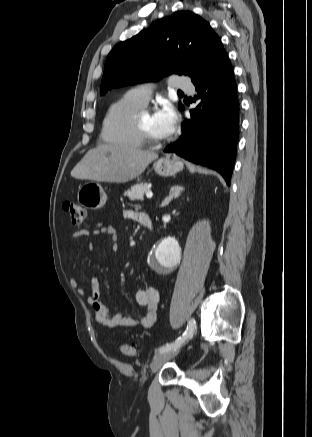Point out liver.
I'll use <instances>...</instances> for the list:
<instances>
[{"instance_id":"6515ba94","label":"liver","mask_w":312,"mask_h":437,"mask_svg":"<svg viewBox=\"0 0 312 437\" xmlns=\"http://www.w3.org/2000/svg\"><path fill=\"white\" fill-rule=\"evenodd\" d=\"M158 154L153 151L119 145L102 144L88 151L71 171L77 179L125 183L141 175Z\"/></svg>"}]
</instances>
